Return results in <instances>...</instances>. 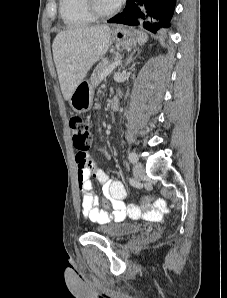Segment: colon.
Instances as JSON below:
<instances>
[{"label":"colon","instance_id":"obj_1","mask_svg":"<svg viewBox=\"0 0 227 298\" xmlns=\"http://www.w3.org/2000/svg\"><path fill=\"white\" fill-rule=\"evenodd\" d=\"M70 129L72 134V140L74 147L79 150H84L85 153L88 151L91 144V132L90 126L86 120L81 117H72L70 119ZM144 204L148 207L152 205L164 208V203L160 200L153 201L150 196H143ZM139 213H133V216H137Z\"/></svg>","mask_w":227,"mask_h":298}]
</instances>
